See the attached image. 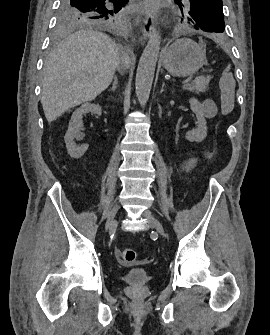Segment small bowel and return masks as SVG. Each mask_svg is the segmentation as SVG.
<instances>
[{"label": "small bowel", "mask_w": 270, "mask_h": 335, "mask_svg": "<svg viewBox=\"0 0 270 335\" xmlns=\"http://www.w3.org/2000/svg\"><path fill=\"white\" fill-rule=\"evenodd\" d=\"M196 162H197V158L194 157L188 162V165L190 167H193L196 164Z\"/></svg>", "instance_id": "small-bowel-1"}]
</instances>
